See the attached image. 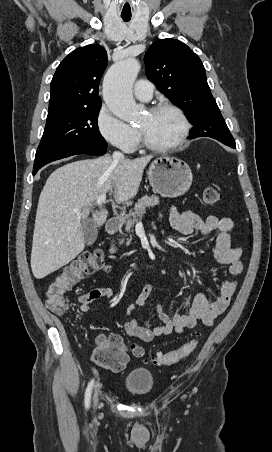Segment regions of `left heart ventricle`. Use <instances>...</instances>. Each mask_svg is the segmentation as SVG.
I'll use <instances>...</instances> for the list:
<instances>
[{
    "mask_svg": "<svg viewBox=\"0 0 272 452\" xmlns=\"http://www.w3.org/2000/svg\"><path fill=\"white\" fill-rule=\"evenodd\" d=\"M146 138L153 144L163 145L173 142L180 131V121L169 111L146 114L138 123Z\"/></svg>",
    "mask_w": 272,
    "mask_h": 452,
    "instance_id": "left-heart-ventricle-1",
    "label": "left heart ventricle"
}]
</instances>
